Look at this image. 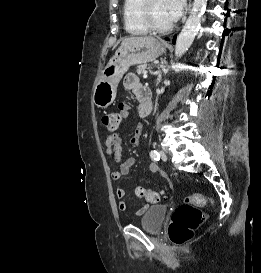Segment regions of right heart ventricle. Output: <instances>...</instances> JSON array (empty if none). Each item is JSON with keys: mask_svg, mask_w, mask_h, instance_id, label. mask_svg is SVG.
<instances>
[{"mask_svg": "<svg viewBox=\"0 0 261 273\" xmlns=\"http://www.w3.org/2000/svg\"><path fill=\"white\" fill-rule=\"evenodd\" d=\"M142 0H124L123 23L126 31L132 35H143L149 30L140 19Z\"/></svg>", "mask_w": 261, "mask_h": 273, "instance_id": "right-heart-ventricle-1", "label": "right heart ventricle"}]
</instances>
